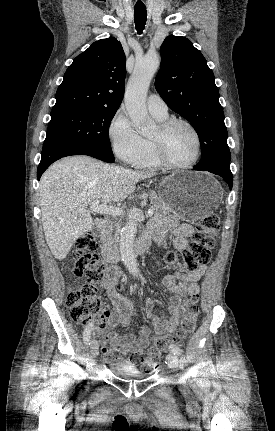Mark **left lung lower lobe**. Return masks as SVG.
<instances>
[{
    "label": "left lung lower lobe",
    "instance_id": "obj_1",
    "mask_svg": "<svg viewBox=\"0 0 275 431\" xmlns=\"http://www.w3.org/2000/svg\"><path fill=\"white\" fill-rule=\"evenodd\" d=\"M194 169L199 171H209L211 173L221 176L229 185L230 190L232 189L233 176L230 169L203 168L197 166H194Z\"/></svg>",
    "mask_w": 275,
    "mask_h": 431
}]
</instances>
